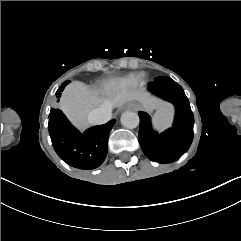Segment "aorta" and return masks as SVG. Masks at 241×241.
I'll use <instances>...</instances> for the list:
<instances>
[{
    "instance_id": "1",
    "label": "aorta",
    "mask_w": 241,
    "mask_h": 241,
    "mask_svg": "<svg viewBox=\"0 0 241 241\" xmlns=\"http://www.w3.org/2000/svg\"><path fill=\"white\" fill-rule=\"evenodd\" d=\"M121 124L129 129L136 128L140 123V118L137 113L126 111L121 115Z\"/></svg>"
}]
</instances>
